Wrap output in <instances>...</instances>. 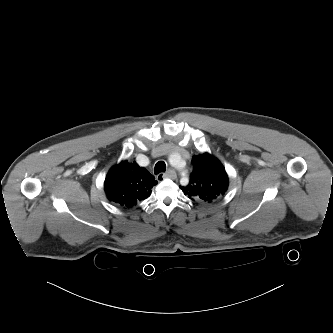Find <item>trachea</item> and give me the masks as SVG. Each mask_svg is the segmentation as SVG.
Listing matches in <instances>:
<instances>
[{"label":"trachea","instance_id":"obj_1","mask_svg":"<svg viewBox=\"0 0 333 333\" xmlns=\"http://www.w3.org/2000/svg\"><path fill=\"white\" fill-rule=\"evenodd\" d=\"M165 170H166L165 162L159 161V162L156 163L155 168H154L155 175H157L161 172H165Z\"/></svg>","mask_w":333,"mask_h":333}]
</instances>
